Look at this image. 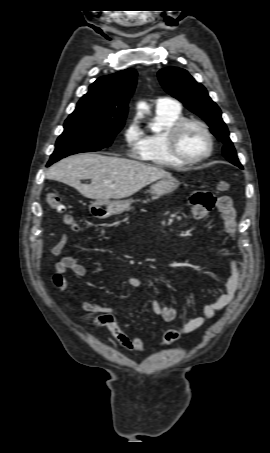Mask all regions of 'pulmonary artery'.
<instances>
[{
	"label": "pulmonary artery",
	"instance_id": "pulmonary-artery-1",
	"mask_svg": "<svg viewBox=\"0 0 270 453\" xmlns=\"http://www.w3.org/2000/svg\"><path fill=\"white\" fill-rule=\"evenodd\" d=\"M179 104L167 97H161L157 99L156 101V109L157 110H162V109H169V108H178Z\"/></svg>",
	"mask_w": 270,
	"mask_h": 453
}]
</instances>
